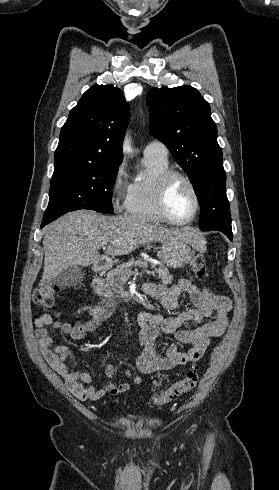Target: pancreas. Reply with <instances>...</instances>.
Returning a JSON list of instances; mask_svg holds the SVG:
<instances>
[{"label": "pancreas", "instance_id": "1", "mask_svg": "<svg viewBox=\"0 0 279 490\" xmlns=\"http://www.w3.org/2000/svg\"><path fill=\"white\" fill-rule=\"evenodd\" d=\"M134 264L135 260H129L126 264H121V266H117L115 270H111L107 278L95 282V294H98V296H112L115 282L120 280V278H126L127 280V278H130V276L134 274V272H132V266H134ZM145 272H147V274H152L157 280H161L163 284H172L173 276H170L167 268H164L163 264L162 266H159V268H155L154 272H150V270H145Z\"/></svg>", "mask_w": 279, "mask_h": 490}]
</instances>
